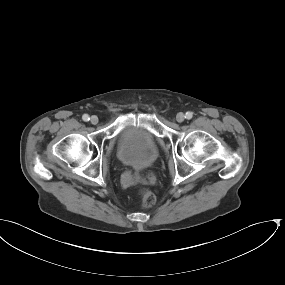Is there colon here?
Instances as JSON below:
<instances>
[{
	"instance_id": "colon-1",
	"label": "colon",
	"mask_w": 285,
	"mask_h": 285,
	"mask_svg": "<svg viewBox=\"0 0 285 285\" xmlns=\"http://www.w3.org/2000/svg\"><path fill=\"white\" fill-rule=\"evenodd\" d=\"M140 197L141 205L146 208L152 207L156 202L155 194L147 189L141 190Z\"/></svg>"
}]
</instances>
